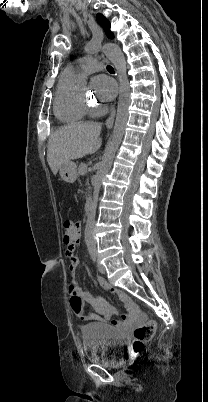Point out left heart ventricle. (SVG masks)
<instances>
[{
    "label": "left heart ventricle",
    "instance_id": "left-heart-ventricle-1",
    "mask_svg": "<svg viewBox=\"0 0 208 402\" xmlns=\"http://www.w3.org/2000/svg\"><path fill=\"white\" fill-rule=\"evenodd\" d=\"M79 91L84 92V91H85V85H84ZM84 93H85V92H84ZM96 99H100V98L97 97Z\"/></svg>",
    "mask_w": 208,
    "mask_h": 402
}]
</instances>
